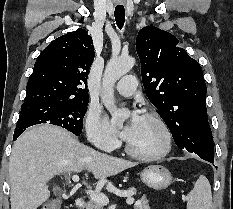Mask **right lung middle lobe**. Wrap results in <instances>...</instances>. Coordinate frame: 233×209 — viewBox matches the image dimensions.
Returning <instances> with one entry per match:
<instances>
[{
  "instance_id": "1",
  "label": "right lung middle lobe",
  "mask_w": 233,
  "mask_h": 209,
  "mask_svg": "<svg viewBox=\"0 0 233 209\" xmlns=\"http://www.w3.org/2000/svg\"><path fill=\"white\" fill-rule=\"evenodd\" d=\"M89 100L41 101L22 104L15 132L30 126L46 123L61 126L79 136Z\"/></svg>"
}]
</instances>
